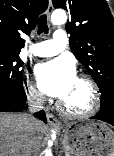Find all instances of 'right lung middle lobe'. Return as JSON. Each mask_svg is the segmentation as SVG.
<instances>
[{
    "mask_svg": "<svg viewBox=\"0 0 114 156\" xmlns=\"http://www.w3.org/2000/svg\"><path fill=\"white\" fill-rule=\"evenodd\" d=\"M22 65L19 54H0V93L18 94L24 91Z\"/></svg>",
    "mask_w": 114,
    "mask_h": 156,
    "instance_id": "dd1d6c3e",
    "label": "right lung middle lobe"
}]
</instances>
